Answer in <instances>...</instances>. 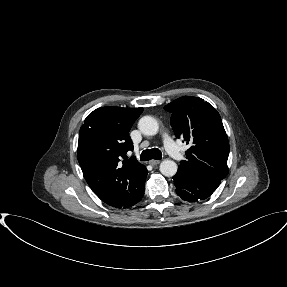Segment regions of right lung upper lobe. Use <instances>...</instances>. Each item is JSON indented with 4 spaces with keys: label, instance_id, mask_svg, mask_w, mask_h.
<instances>
[{
    "label": "right lung upper lobe",
    "instance_id": "right-lung-upper-lobe-1",
    "mask_svg": "<svg viewBox=\"0 0 287 287\" xmlns=\"http://www.w3.org/2000/svg\"><path fill=\"white\" fill-rule=\"evenodd\" d=\"M143 108L101 107L91 112L80 128L77 158L85 180L106 204L127 202L145 174L134 157L129 131Z\"/></svg>",
    "mask_w": 287,
    "mask_h": 287
}]
</instances>
